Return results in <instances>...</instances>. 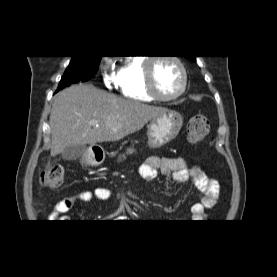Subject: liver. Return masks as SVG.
<instances>
[{
  "mask_svg": "<svg viewBox=\"0 0 277 277\" xmlns=\"http://www.w3.org/2000/svg\"><path fill=\"white\" fill-rule=\"evenodd\" d=\"M166 111L163 107L118 98L93 85H73L54 99L49 121L50 154L56 156L70 145L121 140ZM91 121H96L98 127ZM46 167H50V162Z\"/></svg>",
  "mask_w": 277,
  "mask_h": 277,
  "instance_id": "liver-1",
  "label": "liver"
}]
</instances>
